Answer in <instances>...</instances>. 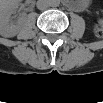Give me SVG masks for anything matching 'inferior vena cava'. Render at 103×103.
I'll list each match as a JSON object with an SVG mask.
<instances>
[{
	"instance_id": "1",
	"label": "inferior vena cava",
	"mask_w": 103,
	"mask_h": 103,
	"mask_svg": "<svg viewBox=\"0 0 103 103\" xmlns=\"http://www.w3.org/2000/svg\"><path fill=\"white\" fill-rule=\"evenodd\" d=\"M49 7V2L47 0H38L37 8L39 10H46Z\"/></svg>"
}]
</instances>
